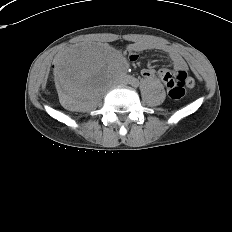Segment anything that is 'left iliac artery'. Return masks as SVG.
I'll return each instance as SVG.
<instances>
[{
	"label": "left iliac artery",
	"instance_id": "obj_1",
	"mask_svg": "<svg viewBox=\"0 0 232 232\" xmlns=\"http://www.w3.org/2000/svg\"><path fill=\"white\" fill-rule=\"evenodd\" d=\"M132 86L134 87H138L139 86V81L137 79H134L132 82H131Z\"/></svg>",
	"mask_w": 232,
	"mask_h": 232
}]
</instances>
